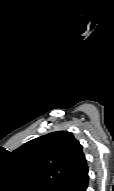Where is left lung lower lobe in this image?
Segmentation results:
<instances>
[{"mask_svg":"<svg viewBox=\"0 0 114 191\" xmlns=\"http://www.w3.org/2000/svg\"><path fill=\"white\" fill-rule=\"evenodd\" d=\"M88 180V167L86 165L79 175L69 184L65 191H86Z\"/></svg>","mask_w":114,"mask_h":191,"instance_id":"left-lung-lower-lobe-1","label":"left lung lower lobe"}]
</instances>
